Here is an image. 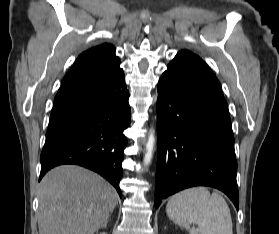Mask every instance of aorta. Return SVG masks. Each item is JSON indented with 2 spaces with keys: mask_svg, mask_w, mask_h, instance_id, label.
I'll list each match as a JSON object with an SVG mask.
<instances>
[{
  "mask_svg": "<svg viewBox=\"0 0 279 234\" xmlns=\"http://www.w3.org/2000/svg\"><path fill=\"white\" fill-rule=\"evenodd\" d=\"M154 147H155V137H154V131L150 130L149 132V136H148V141L146 143V151L144 154V165H149L152 157H153V151H154Z\"/></svg>",
  "mask_w": 279,
  "mask_h": 234,
  "instance_id": "obj_1",
  "label": "aorta"
}]
</instances>
